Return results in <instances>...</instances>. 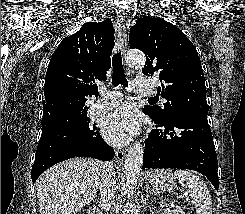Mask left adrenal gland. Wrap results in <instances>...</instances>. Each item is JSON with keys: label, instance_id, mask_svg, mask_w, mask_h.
Listing matches in <instances>:
<instances>
[{"label": "left adrenal gland", "instance_id": "a2214340", "mask_svg": "<svg viewBox=\"0 0 245 214\" xmlns=\"http://www.w3.org/2000/svg\"><path fill=\"white\" fill-rule=\"evenodd\" d=\"M150 191H152L156 195L155 191L149 187V184H147L146 185V193H149Z\"/></svg>", "mask_w": 245, "mask_h": 214}]
</instances>
